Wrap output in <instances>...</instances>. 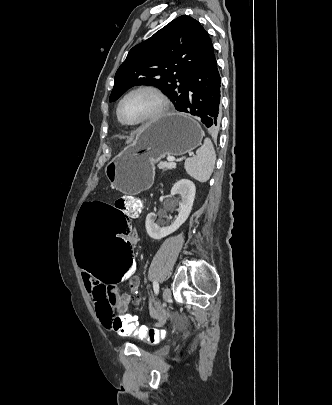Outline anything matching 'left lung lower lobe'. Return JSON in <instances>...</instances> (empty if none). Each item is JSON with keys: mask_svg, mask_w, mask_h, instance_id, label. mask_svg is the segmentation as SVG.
I'll return each mask as SVG.
<instances>
[{"mask_svg": "<svg viewBox=\"0 0 332 405\" xmlns=\"http://www.w3.org/2000/svg\"><path fill=\"white\" fill-rule=\"evenodd\" d=\"M221 78L217 68L214 48L191 74L187 92L177 101L175 108L194 115L211 132L219 130L221 121Z\"/></svg>", "mask_w": 332, "mask_h": 405, "instance_id": "left-lung-lower-lobe-1", "label": "left lung lower lobe"}]
</instances>
